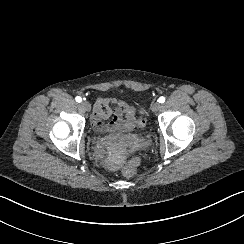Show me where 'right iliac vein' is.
Masks as SVG:
<instances>
[{"label": "right iliac vein", "instance_id": "1", "mask_svg": "<svg viewBox=\"0 0 244 244\" xmlns=\"http://www.w3.org/2000/svg\"><path fill=\"white\" fill-rule=\"evenodd\" d=\"M81 109L85 111H90L91 110V105L87 101H83L80 104Z\"/></svg>", "mask_w": 244, "mask_h": 244}]
</instances>
